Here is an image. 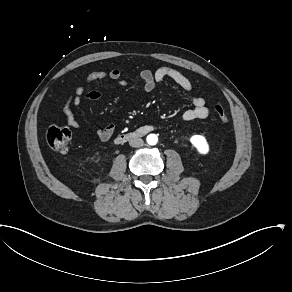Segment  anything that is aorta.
<instances>
[{"label":"aorta","mask_w":292,"mask_h":292,"mask_svg":"<svg viewBox=\"0 0 292 292\" xmlns=\"http://www.w3.org/2000/svg\"><path fill=\"white\" fill-rule=\"evenodd\" d=\"M147 142L149 145H155L158 142V137L155 134H150L147 136Z\"/></svg>","instance_id":"aorta-1"}]
</instances>
